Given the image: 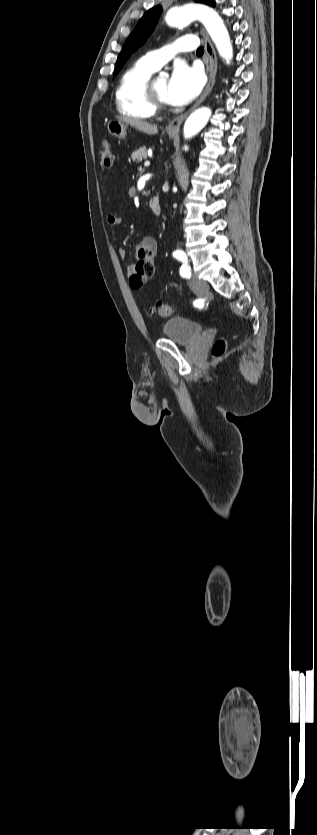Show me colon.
Returning <instances> with one entry per match:
<instances>
[{"instance_id": "1", "label": "colon", "mask_w": 317, "mask_h": 835, "mask_svg": "<svg viewBox=\"0 0 317 835\" xmlns=\"http://www.w3.org/2000/svg\"><path fill=\"white\" fill-rule=\"evenodd\" d=\"M99 155L101 158L102 163L106 167L112 166L114 162V149L113 146L108 143L104 142L99 148ZM155 271L154 263L151 261H145L140 259L134 267V271L130 275L129 284L132 289L139 290L141 289L146 281L152 277ZM175 312V307L170 303H160L153 306L150 310V313L153 316L158 317H169L172 316ZM226 351V343L224 340H218L212 349V353L214 356H221Z\"/></svg>"}]
</instances>
